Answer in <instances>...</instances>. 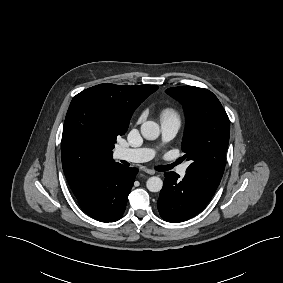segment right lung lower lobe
Masks as SVG:
<instances>
[{"label":"right lung lower lobe","mask_w":283,"mask_h":283,"mask_svg":"<svg viewBox=\"0 0 283 283\" xmlns=\"http://www.w3.org/2000/svg\"><path fill=\"white\" fill-rule=\"evenodd\" d=\"M138 170L117 162L97 165L76 198L80 207L101 222L121 218Z\"/></svg>","instance_id":"98d812e1"}]
</instances>
